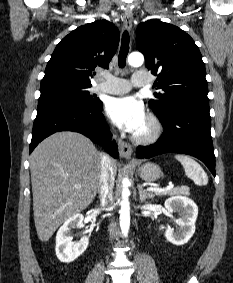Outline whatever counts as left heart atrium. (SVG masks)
<instances>
[{
	"label": "left heart atrium",
	"instance_id": "1",
	"mask_svg": "<svg viewBox=\"0 0 233 283\" xmlns=\"http://www.w3.org/2000/svg\"><path fill=\"white\" fill-rule=\"evenodd\" d=\"M106 114L118 127L134 134L146 118L142 103L134 96L111 98Z\"/></svg>",
	"mask_w": 233,
	"mask_h": 283
}]
</instances>
